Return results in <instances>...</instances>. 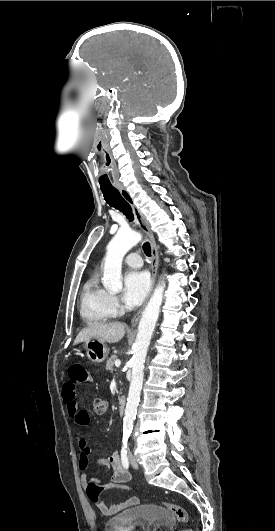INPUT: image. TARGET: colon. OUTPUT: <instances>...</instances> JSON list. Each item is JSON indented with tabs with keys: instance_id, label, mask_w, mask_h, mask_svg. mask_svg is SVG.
I'll return each mask as SVG.
<instances>
[{
	"instance_id": "obj_1",
	"label": "colon",
	"mask_w": 275,
	"mask_h": 531,
	"mask_svg": "<svg viewBox=\"0 0 275 531\" xmlns=\"http://www.w3.org/2000/svg\"><path fill=\"white\" fill-rule=\"evenodd\" d=\"M93 407L94 411L97 415H103L107 411V404L104 400L100 398H95L93 401ZM98 489H102L103 491L106 490H114V491H122L126 489L125 485L122 484H113V483H103L101 486H98L97 484H89L87 486L86 494L87 496L91 497V499H97V496L99 494ZM133 492H136V489H133ZM94 506L96 508H99L101 506V503L99 501H96L94 503ZM165 509L172 514V516L181 523H187L189 521V515L186 509L170 504L165 503L164 504ZM187 531H191L190 529H187Z\"/></svg>"
}]
</instances>
